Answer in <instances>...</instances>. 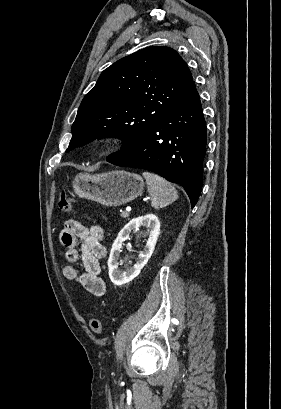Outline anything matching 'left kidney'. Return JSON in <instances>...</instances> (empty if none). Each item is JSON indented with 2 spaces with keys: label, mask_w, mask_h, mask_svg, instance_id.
Wrapping results in <instances>:
<instances>
[{
  "label": "left kidney",
  "mask_w": 281,
  "mask_h": 409,
  "mask_svg": "<svg viewBox=\"0 0 281 409\" xmlns=\"http://www.w3.org/2000/svg\"><path fill=\"white\" fill-rule=\"evenodd\" d=\"M139 227H146V229H148L146 233V235H148V239L145 249L141 251L133 267H128L126 271H120V269H118V265L123 241H127L131 231H133V229H139ZM159 235L160 223L158 221V217H155V215H152V213H150V215H144V217H136V219H132V221H129V223H127V225L121 229L120 233H118L117 239H115L112 245L108 259L109 277L114 285L121 287V285L130 283V281H133V279L139 275L141 269L145 267L148 259H150Z\"/></svg>",
  "instance_id": "5707ae66"
}]
</instances>
